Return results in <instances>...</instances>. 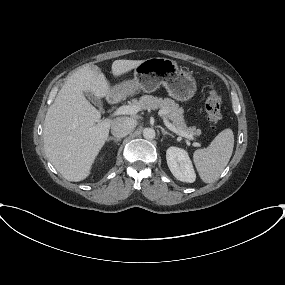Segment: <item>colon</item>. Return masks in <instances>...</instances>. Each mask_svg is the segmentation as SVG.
<instances>
[{
	"label": "colon",
	"mask_w": 285,
	"mask_h": 285,
	"mask_svg": "<svg viewBox=\"0 0 285 285\" xmlns=\"http://www.w3.org/2000/svg\"><path fill=\"white\" fill-rule=\"evenodd\" d=\"M205 110L208 120L212 123V129L216 130L221 120V97L214 88L210 90L205 102Z\"/></svg>",
	"instance_id": "5ec220e1"
}]
</instances>
